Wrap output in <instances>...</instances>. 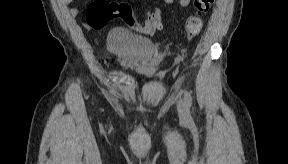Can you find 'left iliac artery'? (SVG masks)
Instances as JSON below:
<instances>
[{
	"mask_svg": "<svg viewBox=\"0 0 288 164\" xmlns=\"http://www.w3.org/2000/svg\"><path fill=\"white\" fill-rule=\"evenodd\" d=\"M184 103H185L186 109L189 110L192 106V97L188 91L184 92Z\"/></svg>",
	"mask_w": 288,
	"mask_h": 164,
	"instance_id": "obj_1",
	"label": "left iliac artery"
}]
</instances>
